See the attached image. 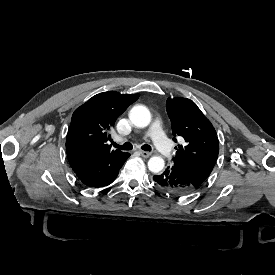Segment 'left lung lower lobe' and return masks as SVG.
Instances as JSON below:
<instances>
[{"label": "left lung lower lobe", "instance_id": "0a47b994", "mask_svg": "<svg viewBox=\"0 0 275 275\" xmlns=\"http://www.w3.org/2000/svg\"><path fill=\"white\" fill-rule=\"evenodd\" d=\"M154 185L164 193L173 196H183L192 193L196 188L173 166L160 175L153 176Z\"/></svg>", "mask_w": 275, "mask_h": 275}]
</instances>
